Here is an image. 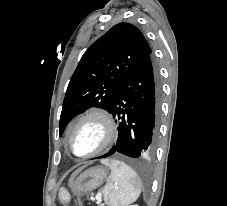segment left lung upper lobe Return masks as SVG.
<instances>
[{
	"label": "left lung upper lobe",
	"mask_w": 227,
	"mask_h": 206,
	"mask_svg": "<svg viewBox=\"0 0 227 206\" xmlns=\"http://www.w3.org/2000/svg\"><path fill=\"white\" fill-rule=\"evenodd\" d=\"M151 56L141 31L119 23L95 41L82 56L69 82L60 116L61 136L69 121L92 106L110 112L127 77Z\"/></svg>",
	"instance_id": "5c2ea615"
}]
</instances>
